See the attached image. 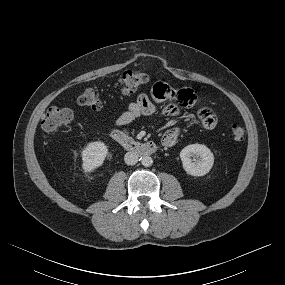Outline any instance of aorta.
<instances>
[{"instance_id": "aorta-1", "label": "aorta", "mask_w": 285, "mask_h": 285, "mask_svg": "<svg viewBox=\"0 0 285 285\" xmlns=\"http://www.w3.org/2000/svg\"><path fill=\"white\" fill-rule=\"evenodd\" d=\"M153 163V159L150 156H143L141 158V164L145 167L151 166Z\"/></svg>"}]
</instances>
